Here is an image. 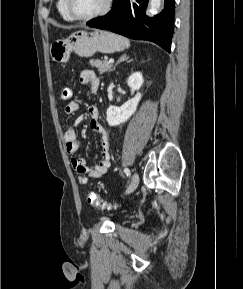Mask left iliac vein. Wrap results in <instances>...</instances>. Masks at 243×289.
<instances>
[{
    "label": "left iliac vein",
    "mask_w": 243,
    "mask_h": 289,
    "mask_svg": "<svg viewBox=\"0 0 243 289\" xmlns=\"http://www.w3.org/2000/svg\"><path fill=\"white\" fill-rule=\"evenodd\" d=\"M138 184H139V175L135 172L132 176V180H131L127 190L125 191V194L132 193L137 188Z\"/></svg>",
    "instance_id": "left-iliac-vein-1"
}]
</instances>
